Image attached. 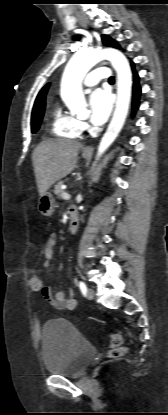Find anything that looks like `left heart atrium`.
<instances>
[{
  "label": "left heart atrium",
  "instance_id": "left-heart-atrium-1",
  "mask_svg": "<svg viewBox=\"0 0 168 415\" xmlns=\"http://www.w3.org/2000/svg\"><path fill=\"white\" fill-rule=\"evenodd\" d=\"M90 120L94 125L104 124L112 109V98L108 91L96 89L90 96Z\"/></svg>",
  "mask_w": 168,
  "mask_h": 415
}]
</instances>
